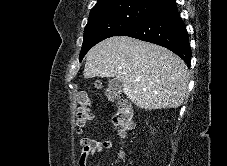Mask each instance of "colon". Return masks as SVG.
<instances>
[{
  "instance_id": "5ec220e1",
  "label": "colon",
  "mask_w": 227,
  "mask_h": 166,
  "mask_svg": "<svg viewBox=\"0 0 227 166\" xmlns=\"http://www.w3.org/2000/svg\"><path fill=\"white\" fill-rule=\"evenodd\" d=\"M92 119L90 111V100L86 92L79 96V107L76 115V126L82 132ZM113 124L121 138H124L133 125V110L131 103L124 98H120L116 104L113 116ZM122 151L120 152V155Z\"/></svg>"
}]
</instances>
